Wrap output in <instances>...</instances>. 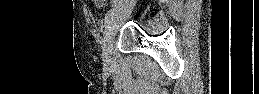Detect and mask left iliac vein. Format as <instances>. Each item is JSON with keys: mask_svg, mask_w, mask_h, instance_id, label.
<instances>
[{"mask_svg": "<svg viewBox=\"0 0 259 94\" xmlns=\"http://www.w3.org/2000/svg\"><path fill=\"white\" fill-rule=\"evenodd\" d=\"M118 23V14H113L106 22V31L102 40V55L105 64H110L112 60V42Z\"/></svg>", "mask_w": 259, "mask_h": 94, "instance_id": "1", "label": "left iliac vein"}]
</instances>
